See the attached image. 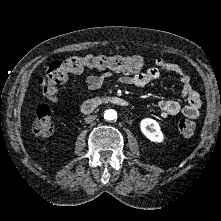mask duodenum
Here are the masks:
<instances>
[{
    "label": "duodenum",
    "instance_id": "duodenum-1",
    "mask_svg": "<svg viewBox=\"0 0 221 221\" xmlns=\"http://www.w3.org/2000/svg\"><path fill=\"white\" fill-rule=\"evenodd\" d=\"M105 105L128 107L130 102L127 99L119 96L99 97L85 101L81 106V110L85 114H91Z\"/></svg>",
    "mask_w": 221,
    "mask_h": 221
}]
</instances>
